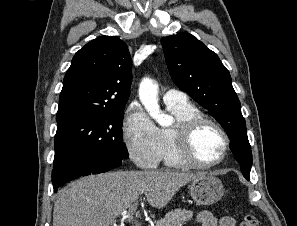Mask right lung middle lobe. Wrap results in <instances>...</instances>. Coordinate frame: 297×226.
Returning <instances> with one entry per match:
<instances>
[{
  "mask_svg": "<svg viewBox=\"0 0 297 226\" xmlns=\"http://www.w3.org/2000/svg\"><path fill=\"white\" fill-rule=\"evenodd\" d=\"M123 111L119 113H80L57 120L55 155L97 151L128 158L122 139Z\"/></svg>",
  "mask_w": 297,
  "mask_h": 226,
  "instance_id": "right-lung-middle-lobe-1",
  "label": "right lung middle lobe"
}]
</instances>
